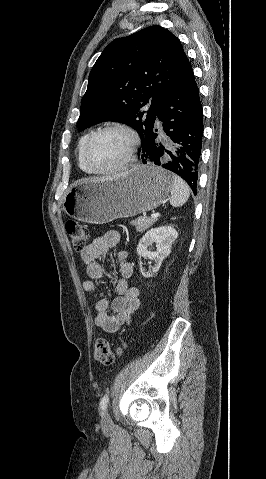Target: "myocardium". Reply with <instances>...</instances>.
Here are the masks:
<instances>
[{"label":"myocardium","mask_w":266,"mask_h":479,"mask_svg":"<svg viewBox=\"0 0 266 479\" xmlns=\"http://www.w3.org/2000/svg\"><path fill=\"white\" fill-rule=\"evenodd\" d=\"M108 131H118V132H122V133L126 134L130 139V145H129V148H128V151H127V154H126L125 158L118 165H116V166H114L110 169H107V170H98V169L94 168L89 162V158H88L89 149H90L93 141L99 135H101L105 132H108ZM138 145H139V138H138V135L136 134V132L133 129H131L127 126H124V125H120V124L105 125V126H102L98 129H96L95 131H93L90 134V136L87 138V141L84 145L83 152H82L83 162H84L85 166L87 167V169L92 174H96V175L113 174V173H116L118 171H121V170L125 169L126 167H128L130 165Z\"/></svg>","instance_id":"obj_1"}]
</instances>
